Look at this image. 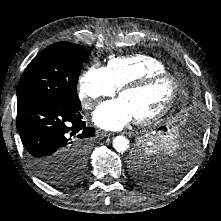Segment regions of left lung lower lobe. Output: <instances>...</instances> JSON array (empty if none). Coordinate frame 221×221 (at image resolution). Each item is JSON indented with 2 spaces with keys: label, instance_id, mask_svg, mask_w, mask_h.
I'll use <instances>...</instances> for the list:
<instances>
[{
  "label": "left lung lower lobe",
  "instance_id": "obj_1",
  "mask_svg": "<svg viewBox=\"0 0 221 221\" xmlns=\"http://www.w3.org/2000/svg\"><path fill=\"white\" fill-rule=\"evenodd\" d=\"M160 130L167 131L165 127L160 128ZM201 135V119L197 116H193L186 122L182 131L179 132L177 142L174 144V147H172V149H176V151L173 153V157L169 156V159H177L181 167H179L176 172H172L169 181H174L184 174L189 161H191L195 155V150L197 149Z\"/></svg>",
  "mask_w": 221,
  "mask_h": 221
}]
</instances>
